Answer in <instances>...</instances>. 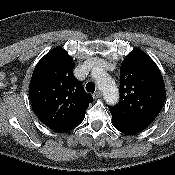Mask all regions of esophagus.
<instances>
[{
  "label": "esophagus",
  "instance_id": "34e87169",
  "mask_svg": "<svg viewBox=\"0 0 175 175\" xmlns=\"http://www.w3.org/2000/svg\"><path fill=\"white\" fill-rule=\"evenodd\" d=\"M102 96V93L100 90H97L94 94H93V98L94 99H98Z\"/></svg>",
  "mask_w": 175,
  "mask_h": 175
}]
</instances>
